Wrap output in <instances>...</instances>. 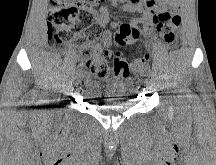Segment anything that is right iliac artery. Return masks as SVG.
I'll list each match as a JSON object with an SVG mask.
<instances>
[{
    "label": "right iliac artery",
    "instance_id": "obj_1",
    "mask_svg": "<svg viewBox=\"0 0 216 165\" xmlns=\"http://www.w3.org/2000/svg\"><path fill=\"white\" fill-rule=\"evenodd\" d=\"M82 71V68L81 67H78L77 68V74H79V72H81Z\"/></svg>",
    "mask_w": 216,
    "mask_h": 165
}]
</instances>
